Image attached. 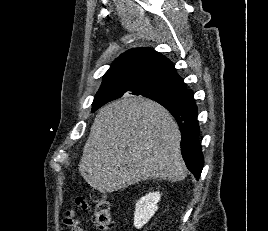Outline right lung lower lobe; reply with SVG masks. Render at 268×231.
I'll list each match as a JSON object with an SVG mask.
<instances>
[{"instance_id": "1", "label": "right lung lower lobe", "mask_w": 268, "mask_h": 231, "mask_svg": "<svg viewBox=\"0 0 268 231\" xmlns=\"http://www.w3.org/2000/svg\"><path fill=\"white\" fill-rule=\"evenodd\" d=\"M176 119L181 135V153L187 168L198 180L204 165V157L199 140V124L195 101L190 105H163Z\"/></svg>"}]
</instances>
